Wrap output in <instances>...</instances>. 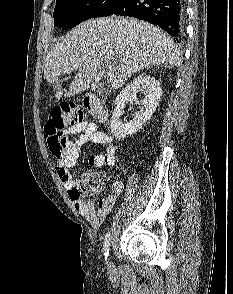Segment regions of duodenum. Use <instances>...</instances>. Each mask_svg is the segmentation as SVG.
<instances>
[{
	"instance_id": "duodenum-1",
	"label": "duodenum",
	"mask_w": 233,
	"mask_h": 294,
	"mask_svg": "<svg viewBox=\"0 0 233 294\" xmlns=\"http://www.w3.org/2000/svg\"><path fill=\"white\" fill-rule=\"evenodd\" d=\"M84 107L99 122L107 124L109 114L104 103L93 94H86L83 99Z\"/></svg>"
}]
</instances>
